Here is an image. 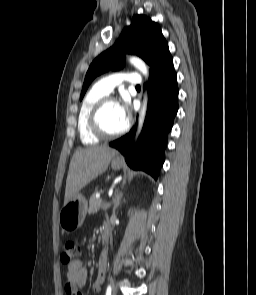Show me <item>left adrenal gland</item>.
Masks as SVG:
<instances>
[{
	"mask_svg": "<svg viewBox=\"0 0 256 295\" xmlns=\"http://www.w3.org/2000/svg\"><path fill=\"white\" fill-rule=\"evenodd\" d=\"M122 194L117 195L115 201H114V211L117 209V207L120 204V199H121Z\"/></svg>",
	"mask_w": 256,
	"mask_h": 295,
	"instance_id": "left-adrenal-gland-1",
	"label": "left adrenal gland"
}]
</instances>
